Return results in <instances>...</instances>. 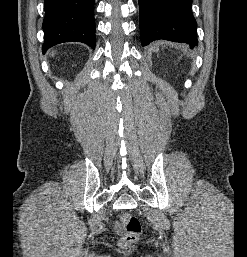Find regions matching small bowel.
<instances>
[{
	"label": "small bowel",
	"mask_w": 247,
	"mask_h": 257,
	"mask_svg": "<svg viewBox=\"0 0 247 257\" xmlns=\"http://www.w3.org/2000/svg\"><path fill=\"white\" fill-rule=\"evenodd\" d=\"M116 229H117V230H120V229H121L119 224L116 225Z\"/></svg>",
	"instance_id": "small-bowel-1"
}]
</instances>
